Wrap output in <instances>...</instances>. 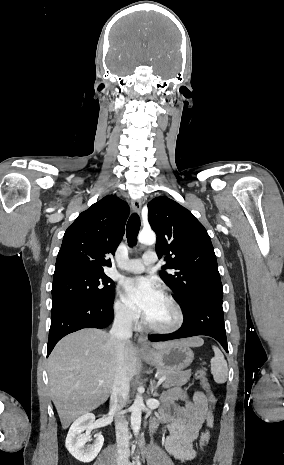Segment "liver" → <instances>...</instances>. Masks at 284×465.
<instances>
[{
	"label": "liver",
	"mask_w": 284,
	"mask_h": 465,
	"mask_svg": "<svg viewBox=\"0 0 284 465\" xmlns=\"http://www.w3.org/2000/svg\"><path fill=\"white\" fill-rule=\"evenodd\" d=\"M183 343L202 347L204 341L190 337ZM117 347V339L99 329H84L57 343L48 359V375L51 399L63 429L107 401L116 377ZM152 347L161 351L168 343ZM123 357V367L132 381L137 373V351L130 341L123 343Z\"/></svg>",
	"instance_id": "liver-1"
}]
</instances>
